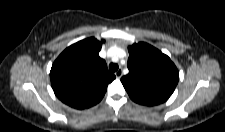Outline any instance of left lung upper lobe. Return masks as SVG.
<instances>
[{
	"mask_svg": "<svg viewBox=\"0 0 225 132\" xmlns=\"http://www.w3.org/2000/svg\"><path fill=\"white\" fill-rule=\"evenodd\" d=\"M128 49L129 73L121 78V82L130 98L148 106L167 101L179 81L174 63L160 50L144 42Z\"/></svg>",
	"mask_w": 225,
	"mask_h": 132,
	"instance_id": "5c2ea615",
	"label": "left lung upper lobe"
}]
</instances>
